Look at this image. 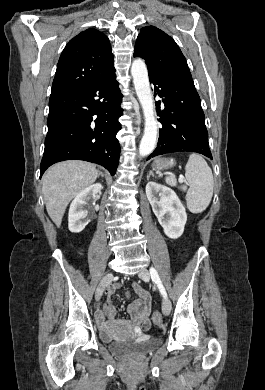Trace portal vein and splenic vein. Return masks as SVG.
I'll return each mask as SVG.
<instances>
[{
  "label": "portal vein and splenic vein",
  "mask_w": 265,
  "mask_h": 390,
  "mask_svg": "<svg viewBox=\"0 0 265 390\" xmlns=\"http://www.w3.org/2000/svg\"><path fill=\"white\" fill-rule=\"evenodd\" d=\"M184 181H185L184 177H183V176H180V177H179V182H180V183H183Z\"/></svg>",
  "instance_id": "18ae733b"
}]
</instances>
